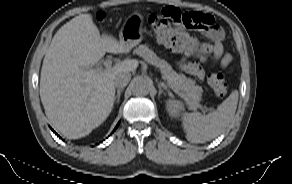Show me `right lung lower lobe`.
Segmentation results:
<instances>
[{
    "label": "right lung lower lobe",
    "mask_w": 292,
    "mask_h": 184,
    "mask_svg": "<svg viewBox=\"0 0 292 184\" xmlns=\"http://www.w3.org/2000/svg\"><path fill=\"white\" fill-rule=\"evenodd\" d=\"M119 123L117 124V126L115 127L114 131L116 130V128L118 127Z\"/></svg>",
    "instance_id": "98d812e1"
}]
</instances>
